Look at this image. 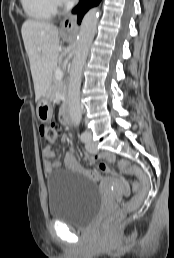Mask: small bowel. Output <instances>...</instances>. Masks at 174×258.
<instances>
[{"label": "small bowel", "mask_w": 174, "mask_h": 258, "mask_svg": "<svg viewBox=\"0 0 174 258\" xmlns=\"http://www.w3.org/2000/svg\"><path fill=\"white\" fill-rule=\"evenodd\" d=\"M43 156L45 158L44 160V170L46 173L51 174L55 169L60 167V162L58 160H52L55 157V153L50 147H45L43 150ZM104 158H108L110 161L114 159V156L110 153L105 154L103 156ZM85 159L89 163H93L95 160L94 155L87 154L85 156ZM64 164L66 169L68 170H74V171H83V167L78 163L75 156L68 152L64 157ZM98 167H101L102 169H107V162H98ZM87 175L91 176L93 179H100L101 175L96 174L95 172L92 174L89 171H85ZM128 190V188H127Z\"/></svg>", "instance_id": "small-bowel-1"}]
</instances>
